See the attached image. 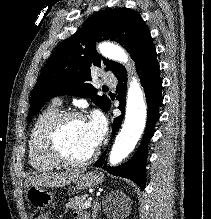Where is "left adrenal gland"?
Instances as JSON below:
<instances>
[{
	"label": "left adrenal gland",
	"instance_id": "a2214340",
	"mask_svg": "<svg viewBox=\"0 0 211 219\" xmlns=\"http://www.w3.org/2000/svg\"><path fill=\"white\" fill-rule=\"evenodd\" d=\"M101 210L100 204L98 200H95L93 207H92V219H96L97 213Z\"/></svg>",
	"mask_w": 211,
	"mask_h": 219
}]
</instances>
